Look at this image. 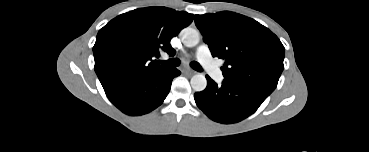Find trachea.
<instances>
[{"instance_id": "1", "label": "trachea", "mask_w": 369, "mask_h": 152, "mask_svg": "<svg viewBox=\"0 0 369 152\" xmlns=\"http://www.w3.org/2000/svg\"><path fill=\"white\" fill-rule=\"evenodd\" d=\"M160 63H161L162 65H164V66H167V67H177V66H179V65H180V60H179V59H177V58H174V59H169V60H167V61H160ZM190 66H191L194 70H196V71H198V72H202V71H203V69H202L201 65H200L198 62H196V61H192V62L190 63Z\"/></svg>"}]
</instances>
